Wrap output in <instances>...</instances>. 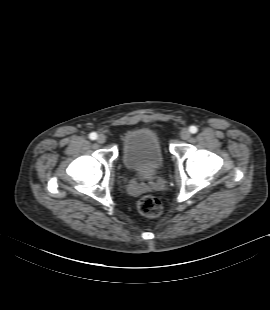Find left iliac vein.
Segmentation results:
<instances>
[{
    "mask_svg": "<svg viewBox=\"0 0 270 310\" xmlns=\"http://www.w3.org/2000/svg\"><path fill=\"white\" fill-rule=\"evenodd\" d=\"M190 135H191L190 131L187 128L182 129L181 132H180V137L183 140L189 139Z\"/></svg>",
    "mask_w": 270,
    "mask_h": 310,
    "instance_id": "4c4485c4",
    "label": "left iliac vein"
}]
</instances>
